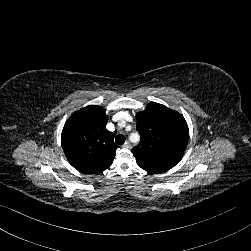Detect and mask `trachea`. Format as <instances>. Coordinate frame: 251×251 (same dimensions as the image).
<instances>
[{"mask_svg": "<svg viewBox=\"0 0 251 251\" xmlns=\"http://www.w3.org/2000/svg\"><path fill=\"white\" fill-rule=\"evenodd\" d=\"M115 141L118 145H123L125 142V136L122 134H119L116 136Z\"/></svg>", "mask_w": 251, "mask_h": 251, "instance_id": "trachea-1", "label": "trachea"}]
</instances>
